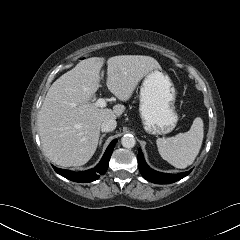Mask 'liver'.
Here are the masks:
<instances>
[{"instance_id": "obj_1", "label": "liver", "mask_w": 240, "mask_h": 240, "mask_svg": "<svg viewBox=\"0 0 240 240\" xmlns=\"http://www.w3.org/2000/svg\"><path fill=\"white\" fill-rule=\"evenodd\" d=\"M103 57L79 62L49 88L40 108L37 125L45 156L63 167L82 166L94 155L101 124L116 119L125 107L99 108L91 103L100 87ZM156 59L143 55H119L107 60V87L121 101H127L140 80L154 69Z\"/></svg>"}]
</instances>
